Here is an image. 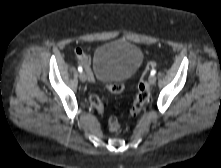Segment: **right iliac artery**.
Wrapping results in <instances>:
<instances>
[{
	"mask_svg": "<svg viewBox=\"0 0 221 168\" xmlns=\"http://www.w3.org/2000/svg\"><path fill=\"white\" fill-rule=\"evenodd\" d=\"M78 71H79L80 73L83 71V69H82L81 66L78 67Z\"/></svg>",
	"mask_w": 221,
	"mask_h": 168,
	"instance_id": "1",
	"label": "right iliac artery"
}]
</instances>
